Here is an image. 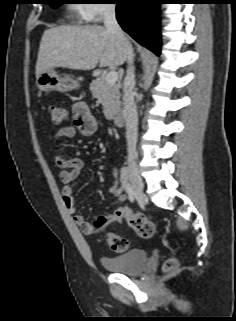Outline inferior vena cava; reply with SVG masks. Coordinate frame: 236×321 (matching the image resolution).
<instances>
[{
    "label": "inferior vena cava",
    "mask_w": 236,
    "mask_h": 321,
    "mask_svg": "<svg viewBox=\"0 0 236 321\" xmlns=\"http://www.w3.org/2000/svg\"><path fill=\"white\" fill-rule=\"evenodd\" d=\"M104 26L107 31L114 33L126 47L128 68L123 82V115L126 122V139L128 156L134 157L138 136V115L134 102L133 89L135 86L133 48L125 37L116 20L115 5L109 4L104 8Z\"/></svg>",
    "instance_id": "obj_1"
}]
</instances>
